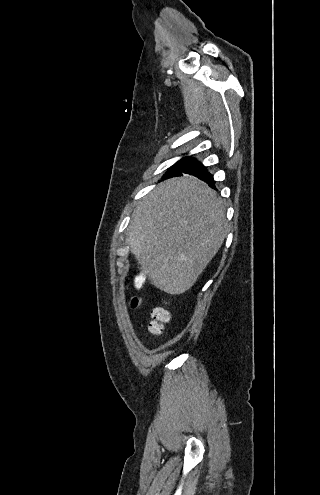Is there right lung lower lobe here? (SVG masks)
Segmentation results:
<instances>
[{
    "instance_id": "1",
    "label": "right lung lower lobe",
    "mask_w": 320,
    "mask_h": 495,
    "mask_svg": "<svg viewBox=\"0 0 320 495\" xmlns=\"http://www.w3.org/2000/svg\"><path fill=\"white\" fill-rule=\"evenodd\" d=\"M182 173H187L196 176L199 179L203 180L204 182L208 183L210 187L215 188L213 176L207 171V169L203 166V164L198 162L195 158H191L185 167H183L177 173L172 174L166 178L181 176Z\"/></svg>"
}]
</instances>
